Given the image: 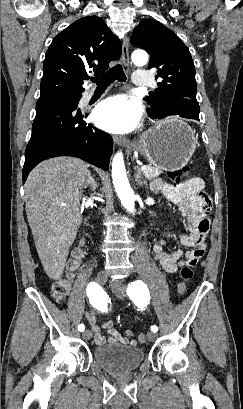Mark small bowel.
<instances>
[{
    "label": "small bowel",
    "mask_w": 243,
    "mask_h": 409,
    "mask_svg": "<svg viewBox=\"0 0 243 409\" xmlns=\"http://www.w3.org/2000/svg\"><path fill=\"white\" fill-rule=\"evenodd\" d=\"M152 187L179 206L182 214L187 219L190 230L189 234H179V241L183 246L192 248L186 252L176 250L168 253L163 250L164 243L160 242L153 247L154 259L165 272L170 274L176 273L181 266L194 267L206 252L210 227L208 213L212 208V200L204 192L203 181L195 178L173 185L158 179L153 182ZM85 316L94 331V343L96 345L118 342L130 346L137 344V341L133 338V333L126 331V336H122L114 328L112 319L109 318L103 324L98 325L92 311L86 312ZM104 333L109 334V336L106 337Z\"/></svg>",
    "instance_id": "small-bowel-1"
}]
</instances>
